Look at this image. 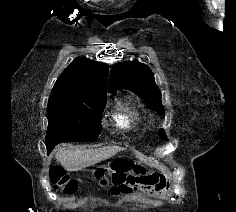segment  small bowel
<instances>
[{
    "instance_id": "1",
    "label": "small bowel",
    "mask_w": 236,
    "mask_h": 212,
    "mask_svg": "<svg viewBox=\"0 0 236 212\" xmlns=\"http://www.w3.org/2000/svg\"><path fill=\"white\" fill-rule=\"evenodd\" d=\"M142 186L149 195L159 194L167 190V180L163 175H118L115 187L109 190V195H113L109 197V202H118L116 195H119V192L121 198H127V202H134L135 192H142Z\"/></svg>"
}]
</instances>
